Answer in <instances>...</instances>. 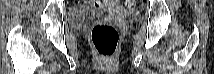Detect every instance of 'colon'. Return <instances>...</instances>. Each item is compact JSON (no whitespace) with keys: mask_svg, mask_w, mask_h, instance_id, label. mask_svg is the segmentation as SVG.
Returning <instances> with one entry per match:
<instances>
[{"mask_svg":"<svg viewBox=\"0 0 214 74\" xmlns=\"http://www.w3.org/2000/svg\"><path fill=\"white\" fill-rule=\"evenodd\" d=\"M100 1H93L95 7L100 5ZM127 9H132L136 5L135 0H125ZM119 34L117 29L110 24L98 23L92 29V42L97 53L102 57L112 56L117 48Z\"/></svg>","mask_w":214,"mask_h":74,"instance_id":"1","label":"colon"}]
</instances>
